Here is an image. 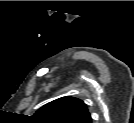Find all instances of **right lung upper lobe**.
<instances>
[{
	"mask_svg": "<svg viewBox=\"0 0 134 123\" xmlns=\"http://www.w3.org/2000/svg\"><path fill=\"white\" fill-rule=\"evenodd\" d=\"M31 120L36 123H92L86 104L70 96L47 103Z\"/></svg>",
	"mask_w": 134,
	"mask_h": 123,
	"instance_id": "cb5924a9",
	"label": "right lung upper lobe"
}]
</instances>
